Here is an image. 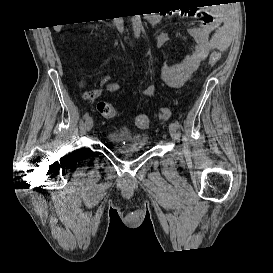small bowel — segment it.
<instances>
[{
    "instance_id": "c3829d8e",
    "label": "small bowel",
    "mask_w": 273,
    "mask_h": 273,
    "mask_svg": "<svg viewBox=\"0 0 273 273\" xmlns=\"http://www.w3.org/2000/svg\"><path fill=\"white\" fill-rule=\"evenodd\" d=\"M189 17L198 24L188 29V34L195 44L192 50L182 59L161 71V79L169 86L178 88L189 80L199 67L200 63L207 59L212 50H225L231 40L232 20L229 12L220 8H209L203 11H193ZM171 40L168 33L156 36L154 42L157 45H166ZM107 89L117 92L120 86L117 83H109ZM154 92V86H150L141 92L144 96H150Z\"/></svg>"
}]
</instances>
